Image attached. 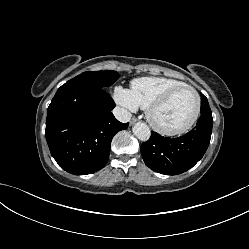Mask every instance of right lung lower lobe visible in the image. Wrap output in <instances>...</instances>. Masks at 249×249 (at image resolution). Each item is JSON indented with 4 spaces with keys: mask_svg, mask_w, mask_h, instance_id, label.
<instances>
[{
    "mask_svg": "<svg viewBox=\"0 0 249 249\" xmlns=\"http://www.w3.org/2000/svg\"><path fill=\"white\" fill-rule=\"evenodd\" d=\"M115 103L104 89L84 81H68L52 99L46 120V140L53 158L75 175L102 169L113 136L128 127L111 110Z\"/></svg>",
    "mask_w": 249,
    "mask_h": 249,
    "instance_id": "98d812e1",
    "label": "right lung lower lobe"
}]
</instances>
